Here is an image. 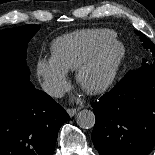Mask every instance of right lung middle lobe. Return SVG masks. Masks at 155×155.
<instances>
[{"label": "right lung middle lobe", "instance_id": "1", "mask_svg": "<svg viewBox=\"0 0 155 155\" xmlns=\"http://www.w3.org/2000/svg\"><path fill=\"white\" fill-rule=\"evenodd\" d=\"M36 24L0 31V89L24 96L32 87L26 63L27 44L39 30Z\"/></svg>", "mask_w": 155, "mask_h": 155}]
</instances>
